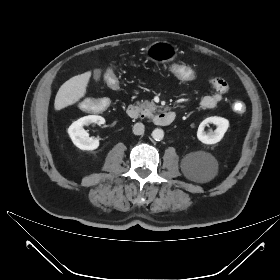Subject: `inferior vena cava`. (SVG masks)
<instances>
[{"mask_svg":"<svg viewBox=\"0 0 280 280\" xmlns=\"http://www.w3.org/2000/svg\"><path fill=\"white\" fill-rule=\"evenodd\" d=\"M133 133L135 135H142L144 133V125L142 123L134 124Z\"/></svg>","mask_w":280,"mask_h":280,"instance_id":"inferior-vena-cava-1","label":"inferior vena cava"}]
</instances>
